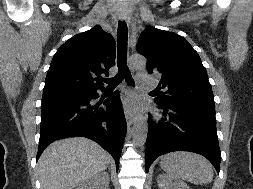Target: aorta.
Listing matches in <instances>:
<instances>
[{
	"label": "aorta",
	"instance_id": "762f6f07",
	"mask_svg": "<svg viewBox=\"0 0 253 189\" xmlns=\"http://www.w3.org/2000/svg\"><path fill=\"white\" fill-rule=\"evenodd\" d=\"M131 65L134 68H143L146 66V60L142 56H132L130 58ZM148 134V123L144 116L136 119L133 127V141L138 146H143L146 142Z\"/></svg>",
	"mask_w": 253,
	"mask_h": 189
}]
</instances>
